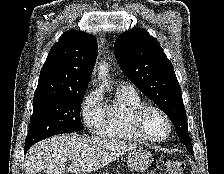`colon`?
<instances>
[{"label": "colon", "mask_w": 224, "mask_h": 174, "mask_svg": "<svg viewBox=\"0 0 224 174\" xmlns=\"http://www.w3.org/2000/svg\"><path fill=\"white\" fill-rule=\"evenodd\" d=\"M185 164L180 160H170L166 164V174H184Z\"/></svg>", "instance_id": "colon-1"}]
</instances>
